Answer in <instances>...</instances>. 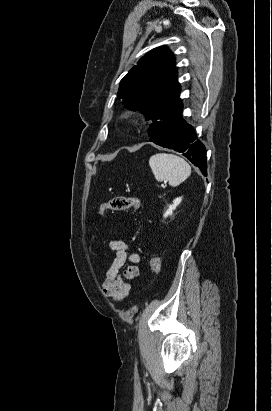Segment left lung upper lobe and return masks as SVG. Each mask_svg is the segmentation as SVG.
<instances>
[{"label": "left lung upper lobe", "mask_w": 272, "mask_h": 411, "mask_svg": "<svg viewBox=\"0 0 272 411\" xmlns=\"http://www.w3.org/2000/svg\"><path fill=\"white\" fill-rule=\"evenodd\" d=\"M175 59L165 47L148 52L121 80L118 99L131 110H141L151 119L152 136L182 108Z\"/></svg>", "instance_id": "1"}]
</instances>
